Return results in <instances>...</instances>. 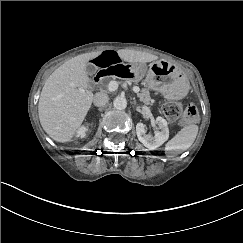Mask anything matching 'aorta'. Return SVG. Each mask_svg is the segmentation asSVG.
I'll return each mask as SVG.
<instances>
[{"label":"aorta","mask_w":243,"mask_h":243,"mask_svg":"<svg viewBox=\"0 0 243 243\" xmlns=\"http://www.w3.org/2000/svg\"><path fill=\"white\" fill-rule=\"evenodd\" d=\"M113 106L116 110H125L127 107V100L123 96H118L113 102Z\"/></svg>","instance_id":"1"}]
</instances>
